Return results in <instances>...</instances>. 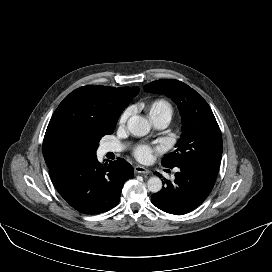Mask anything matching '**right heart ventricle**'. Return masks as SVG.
Segmentation results:
<instances>
[{
  "mask_svg": "<svg viewBox=\"0 0 272 272\" xmlns=\"http://www.w3.org/2000/svg\"><path fill=\"white\" fill-rule=\"evenodd\" d=\"M143 109L151 122L159 119H166L169 122L174 112L170 102L163 98L154 99L144 104Z\"/></svg>",
  "mask_w": 272,
  "mask_h": 272,
  "instance_id": "1",
  "label": "right heart ventricle"
}]
</instances>
